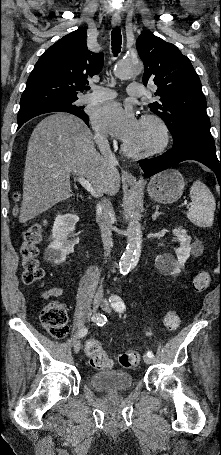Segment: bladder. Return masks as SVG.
Here are the masks:
<instances>
[{
    "mask_svg": "<svg viewBox=\"0 0 221 455\" xmlns=\"http://www.w3.org/2000/svg\"><path fill=\"white\" fill-rule=\"evenodd\" d=\"M89 386L101 392H119L130 390L134 386L131 374L122 370L98 371L89 375Z\"/></svg>",
    "mask_w": 221,
    "mask_h": 455,
    "instance_id": "1",
    "label": "bladder"
}]
</instances>
